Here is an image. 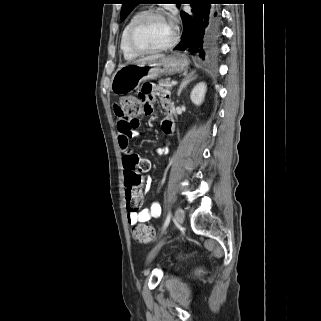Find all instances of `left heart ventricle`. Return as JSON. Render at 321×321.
Returning a JSON list of instances; mask_svg holds the SVG:
<instances>
[{
  "label": "left heart ventricle",
  "mask_w": 321,
  "mask_h": 321,
  "mask_svg": "<svg viewBox=\"0 0 321 321\" xmlns=\"http://www.w3.org/2000/svg\"><path fill=\"white\" fill-rule=\"evenodd\" d=\"M173 36V26L168 19L151 17L144 21L135 34L139 47L151 49L167 44Z\"/></svg>",
  "instance_id": "1"
}]
</instances>
